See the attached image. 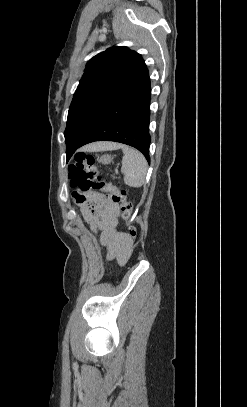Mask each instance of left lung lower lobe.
<instances>
[{
	"mask_svg": "<svg viewBox=\"0 0 247 407\" xmlns=\"http://www.w3.org/2000/svg\"><path fill=\"white\" fill-rule=\"evenodd\" d=\"M150 78L146 69L105 108L76 150L107 140L137 148L149 162Z\"/></svg>",
	"mask_w": 247,
	"mask_h": 407,
	"instance_id": "0a47b994",
	"label": "left lung lower lobe"
}]
</instances>
